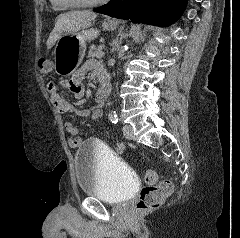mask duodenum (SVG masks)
I'll return each instance as SVG.
<instances>
[{
	"mask_svg": "<svg viewBox=\"0 0 240 238\" xmlns=\"http://www.w3.org/2000/svg\"><path fill=\"white\" fill-rule=\"evenodd\" d=\"M111 90V82L105 73H101L100 87L97 91L96 99L98 102H104Z\"/></svg>",
	"mask_w": 240,
	"mask_h": 238,
	"instance_id": "1",
	"label": "duodenum"
}]
</instances>
